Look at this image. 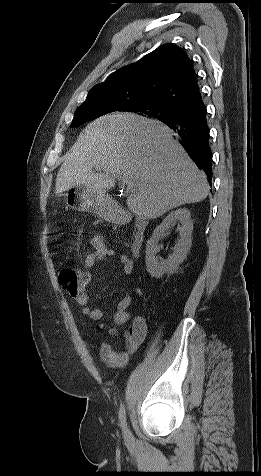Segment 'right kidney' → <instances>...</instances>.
Segmentation results:
<instances>
[{"label":"right kidney","mask_w":261,"mask_h":476,"mask_svg":"<svg viewBox=\"0 0 261 476\" xmlns=\"http://www.w3.org/2000/svg\"><path fill=\"white\" fill-rule=\"evenodd\" d=\"M179 221L180 239L173 248V253L168 259L162 260L156 257L159 252L158 241L161 237L168 234L173 222ZM193 223L191 221L190 211L186 208H180L169 213L162 223L154 230L152 237L146 244V267L152 277L160 278L164 273H173L178 266L185 260L191 247V235Z\"/></svg>","instance_id":"1"}]
</instances>
